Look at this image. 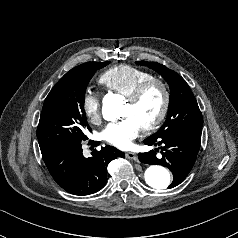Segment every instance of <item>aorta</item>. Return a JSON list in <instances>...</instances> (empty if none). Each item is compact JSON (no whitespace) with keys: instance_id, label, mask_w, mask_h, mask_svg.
<instances>
[{"instance_id":"obj_1","label":"aorta","mask_w":238,"mask_h":238,"mask_svg":"<svg viewBox=\"0 0 238 238\" xmlns=\"http://www.w3.org/2000/svg\"><path fill=\"white\" fill-rule=\"evenodd\" d=\"M121 101L116 96H107L103 100L102 114L107 121H115L119 117ZM144 179L146 183L156 190H165L171 184V174L163 166L151 165L145 173Z\"/></svg>"}]
</instances>
